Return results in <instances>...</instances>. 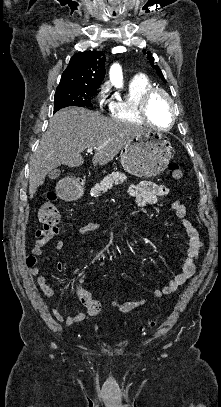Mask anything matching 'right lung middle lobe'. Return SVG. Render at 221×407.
Returning <instances> with one entry per match:
<instances>
[{
  "label": "right lung middle lobe",
  "mask_w": 221,
  "mask_h": 407,
  "mask_svg": "<svg viewBox=\"0 0 221 407\" xmlns=\"http://www.w3.org/2000/svg\"><path fill=\"white\" fill-rule=\"evenodd\" d=\"M96 89L89 87L57 88L54 96V112L68 106L92 107L90 97Z\"/></svg>",
  "instance_id": "1"
}]
</instances>
